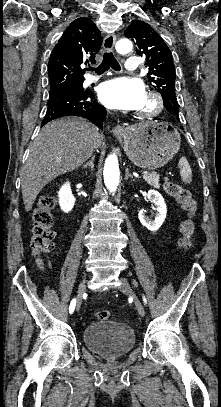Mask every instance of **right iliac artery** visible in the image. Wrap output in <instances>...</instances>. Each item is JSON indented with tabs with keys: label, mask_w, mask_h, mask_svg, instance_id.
<instances>
[{
	"label": "right iliac artery",
	"mask_w": 221,
	"mask_h": 407,
	"mask_svg": "<svg viewBox=\"0 0 221 407\" xmlns=\"http://www.w3.org/2000/svg\"><path fill=\"white\" fill-rule=\"evenodd\" d=\"M75 305H76V300L73 299V300L71 301V303H70V306H69V312H70V313H72V312L74 311Z\"/></svg>",
	"instance_id": "obj_1"
}]
</instances>
